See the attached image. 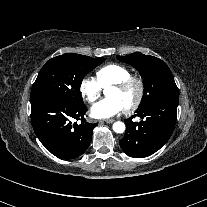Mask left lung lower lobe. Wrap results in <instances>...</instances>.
Wrapping results in <instances>:
<instances>
[{"label": "left lung lower lobe", "mask_w": 207, "mask_h": 207, "mask_svg": "<svg viewBox=\"0 0 207 207\" xmlns=\"http://www.w3.org/2000/svg\"><path fill=\"white\" fill-rule=\"evenodd\" d=\"M178 100L158 101L148 108L136 111L125 120L126 132L119 141L123 151L133 157H147L158 151L170 138L176 123ZM139 116L135 123L132 118Z\"/></svg>", "instance_id": "1"}]
</instances>
